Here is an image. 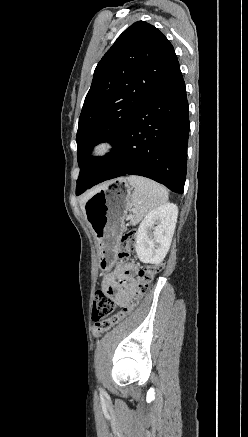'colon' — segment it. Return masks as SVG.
I'll list each match as a JSON object with an SVG mask.
<instances>
[{"mask_svg": "<svg viewBox=\"0 0 248 437\" xmlns=\"http://www.w3.org/2000/svg\"><path fill=\"white\" fill-rule=\"evenodd\" d=\"M135 245V234L130 231L125 233L117 246V257L127 258ZM164 268V263L148 265L140 269L138 283L134 296L129 304L122 310L114 313L115 304L112 298L103 290H97L94 295L92 319L94 321V333L97 336L110 330L113 326L122 321L139 303L141 298L149 289L155 276Z\"/></svg>", "mask_w": 248, "mask_h": 437, "instance_id": "colon-1", "label": "colon"}]
</instances>
